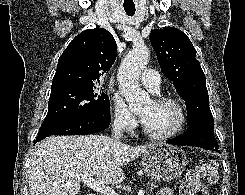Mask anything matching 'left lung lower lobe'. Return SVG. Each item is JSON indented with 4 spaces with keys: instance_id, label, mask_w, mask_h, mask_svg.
<instances>
[{
    "instance_id": "obj_1",
    "label": "left lung lower lobe",
    "mask_w": 245,
    "mask_h": 195,
    "mask_svg": "<svg viewBox=\"0 0 245 195\" xmlns=\"http://www.w3.org/2000/svg\"><path fill=\"white\" fill-rule=\"evenodd\" d=\"M168 143L173 145L196 146L220 153L214 131L202 126L189 127L184 135L171 139Z\"/></svg>"
}]
</instances>
